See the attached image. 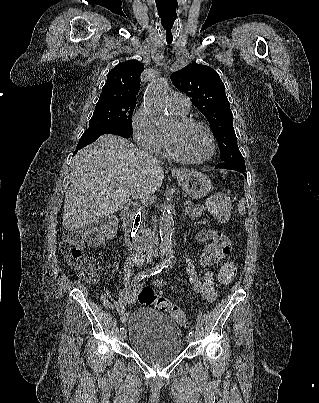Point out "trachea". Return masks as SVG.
I'll return each instance as SVG.
<instances>
[{
	"label": "trachea",
	"mask_w": 319,
	"mask_h": 403,
	"mask_svg": "<svg viewBox=\"0 0 319 403\" xmlns=\"http://www.w3.org/2000/svg\"><path fill=\"white\" fill-rule=\"evenodd\" d=\"M173 24L174 21L169 20L162 22L167 44H171L173 41Z\"/></svg>",
	"instance_id": "obj_1"
}]
</instances>
